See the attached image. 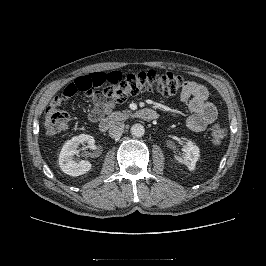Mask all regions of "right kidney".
Returning a JSON list of instances; mask_svg holds the SVG:
<instances>
[{
    "label": "right kidney",
    "mask_w": 266,
    "mask_h": 266,
    "mask_svg": "<svg viewBox=\"0 0 266 266\" xmlns=\"http://www.w3.org/2000/svg\"><path fill=\"white\" fill-rule=\"evenodd\" d=\"M83 143L92 148L94 146L95 140L90 135L80 134L79 136H75L66 141L62 147L59 155V165L64 173L73 177H77L87 173L91 169L92 165L89 161L82 160L77 162L73 158V156L78 153V146Z\"/></svg>",
    "instance_id": "ca27d5eb"
}]
</instances>
